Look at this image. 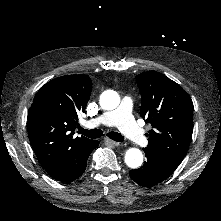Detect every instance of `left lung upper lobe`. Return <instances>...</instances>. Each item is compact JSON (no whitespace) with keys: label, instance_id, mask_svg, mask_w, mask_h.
Listing matches in <instances>:
<instances>
[{"label":"left lung upper lobe","instance_id":"obj_1","mask_svg":"<svg viewBox=\"0 0 221 221\" xmlns=\"http://www.w3.org/2000/svg\"><path fill=\"white\" fill-rule=\"evenodd\" d=\"M136 81L142 95L140 115L154 128L144 150L175 170L192 138V100L181 86L159 72H143Z\"/></svg>","mask_w":221,"mask_h":221}]
</instances>
